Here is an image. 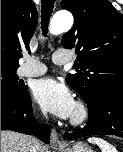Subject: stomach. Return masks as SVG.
Listing matches in <instances>:
<instances>
[{"instance_id":"stomach-1","label":"stomach","mask_w":123,"mask_h":152,"mask_svg":"<svg viewBox=\"0 0 123 152\" xmlns=\"http://www.w3.org/2000/svg\"><path fill=\"white\" fill-rule=\"evenodd\" d=\"M62 152H93V150L83 142H76L72 146L64 149Z\"/></svg>"}]
</instances>
